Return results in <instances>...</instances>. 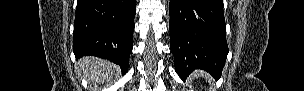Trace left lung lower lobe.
Returning <instances> with one entry per match:
<instances>
[{
  "label": "left lung lower lobe",
  "instance_id": "0a47b994",
  "mask_svg": "<svg viewBox=\"0 0 304 91\" xmlns=\"http://www.w3.org/2000/svg\"><path fill=\"white\" fill-rule=\"evenodd\" d=\"M170 49L181 79L195 69L220 78L228 54L222 0H171Z\"/></svg>",
  "mask_w": 304,
  "mask_h": 91
}]
</instances>
